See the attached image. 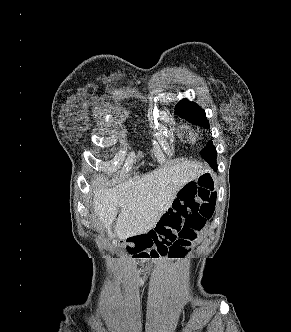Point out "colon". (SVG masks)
Wrapping results in <instances>:
<instances>
[{
    "mask_svg": "<svg viewBox=\"0 0 291 332\" xmlns=\"http://www.w3.org/2000/svg\"><path fill=\"white\" fill-rule=\"evenodd\" d=\"M216 196L206 189L180 191L155 228L124 244L136 258L183 257L214 214Z\"/></svg>",
    "mask_w": 291,
    "mask_h": 332,
    "instance_id": "5ec220e1",
    "label": "colon"
}]
</instances>
